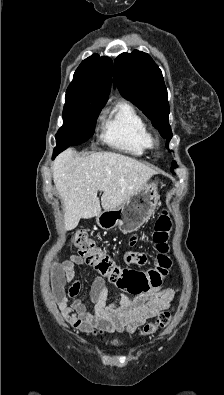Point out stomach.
<instances>
[{
    "mask_svg": "<svg viewBox=\"0 0 224 395\" xmlns=\"http://www.w3.org/2000/svg\"><path fill=\"white\" fill-rule=\"evenodd\" d=\"M159 199L158 179L147 181L120 206L100 212L96 222L104 230L118 227L123 233L133 232L154 214Z\"/></svg>",
    "mask_w": 224,
    "mask_h": 395,
    "instance_id": "stomach-1",
    "label": "stomach"
}]
</instances>
